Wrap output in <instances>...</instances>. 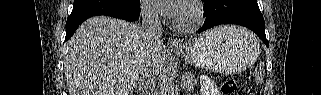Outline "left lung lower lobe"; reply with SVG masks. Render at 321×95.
Instances as JSON below:
<instances>
[{
	"label": "left lung lower lobe",
	"mask_w": 321,
	"mask_h": 95,
	"mask_svg": "<svg viewBox=\"0 0 321 95\" xmlns=\"http://www.w3.org/2000/svg\"><path fill=\"white\" fill-rule=\"evenodd\" d=\"M204 26L198 33L221 24H237L254 31L269 46L265 35V22L257 0H205Z\"/></svg>",
	"instance_id": "1"
}]
</instances>
